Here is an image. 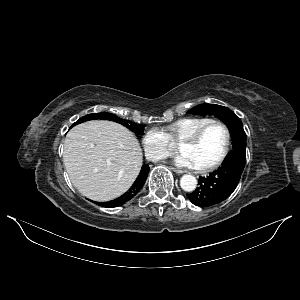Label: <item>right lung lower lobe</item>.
Masks as SVG:
<instances>
[{"mask_svg":"<svg viewBox=\"0 0 300 300\" xmlns=\"http://www.w3.org/2000/svg\"><path fill=\"white\" fill-rule=\"evenodd\" d=\"M148 173H149V166L148 165L142 166L139 176L137 177L136 181L133 183L131 188L126 193H124L122 196L118 197L117 199L111 200L109 202H95V203L97 205H100L102 207H107V208L117 207L124 204L125 202L131 200L134 196H136L139 193V191L142 189L147 179Z\"/></svg>","mask_w":300,"mask_h":300,"instance_id":"obj_1","label":"right lung lower lobe"}]
</instances>
